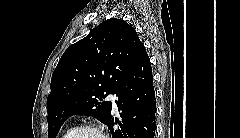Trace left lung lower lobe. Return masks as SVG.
I'll return each mask as SVG.
<instances>
[{"instance_id":"1","label":"left lung lower lobe","mask_w":240,"mask_h":138,"mask_svg":"<svg viewBox=\"0 0 240 138\" xmlns=\"http://www.w3.org/2000/svg\"><path fill=\"white\" fill-rule=\"evenodd\" d=\"M116 96L122 123L116 121L120 127L114 130V118L108 119L105 125L112 132V137L154 138L156 99L151 63L144 45L139 48L137 57Z\"/></svg>"}]
</instances>
